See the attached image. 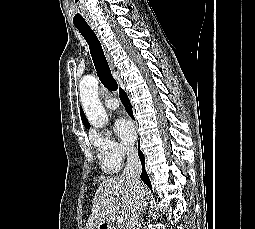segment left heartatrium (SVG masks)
I'll use <instances>...</instances> for the list:
<instances>
[{"label":"left heart atrium","instance_id":"39dd6f15","mask_svg":"<svg viewBox=\"0 0 255 229\" xmlns=\"http://www.w3.org/2000/svg\"><path fill=\"white\" fill-rule=\"evenodd\" d=\"M114 130L118 137L128 144L135 140L136 132L134 125L126 118L117 119Z\"/></svg>","mask_w":255,"mask_h":229}]
</instances>
